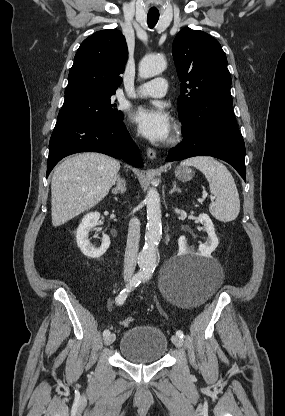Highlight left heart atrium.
I'll return each instance as SVG.
<instances>
[{"mask_svg":"<svg viewBox=\"0 0 285 416\" xmlns=\"http://www.w3.org/2000/svg\"><path fill=\"white\" fill-rule=\"evenodd\" d=\"M132 120L142 135L153 142H163L170 135V117L161 107L139 106L133 112Z\"/></svg>","mask_w":285,"mask_h":416,"instance_id":"1","label":"left heart atrium"}]
</instances>
